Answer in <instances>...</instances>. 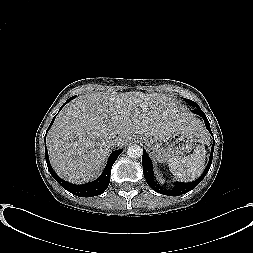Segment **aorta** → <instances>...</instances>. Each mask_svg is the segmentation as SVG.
<instances>
[{
  "label": "aorta",
  "mask_w": 253,
  "mask_h": 253,
  "mask_svg": "<svg viewBox=\"0 0 253 253\" xmlns=\"http://www.w3.org/2000/svg\"><path fill=\"white\" fill-rule=\"evenodd\" d=\"M142 154H143V150L139 145L134 144L128 147L127 155L130 158H139L142 156Z\"/></svg>",
  "instance_id": "762f6f07"
}]
</instances>
